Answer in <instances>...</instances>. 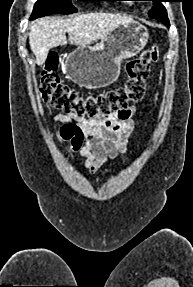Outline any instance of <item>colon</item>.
Returning <instances> with one entry per match:
<instances>
[{"label": "colon", "mask_w": 193, "mask_h": 287, "mask_svg": "<svg viewBox=\"0 0 193 287\" xmlns=\"http://www.w3.org/2000/svg\"><path fill=\"white\" fill-rule=\"evenodd\" d=\"M157 57L156 47L145 50L138 57L126 63L128 80L123 86L98 93L80 94L61 82L57 73L59 58L51 53L41 73L38 91L45 101L65 113H74L86 121L101 120L114 111L142 99L150 66L157 60Z\"/></svg>", "instance_id": "obj_1"}]
</instances>
